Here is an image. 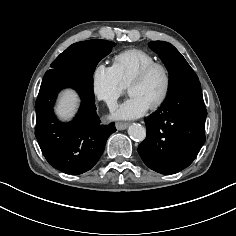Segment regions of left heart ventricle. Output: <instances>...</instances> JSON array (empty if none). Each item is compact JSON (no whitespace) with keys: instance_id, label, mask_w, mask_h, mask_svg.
<instances>
[{"instance_id":"1","label":"left heart ventricle","mask_w":236,"mask_h":236,"mask_svg":"<svg viewBox=\"0 0 236 236\" xmlns=\"http://www.w3.org/2000/svg\"><path fill=\"white\" fill-rule=\"evenodd\" d=\"M164 86L163 72L160 69H155L143 82L131 86L129 94L142 98L151 106L161 96Z\"/></svg>"}]
</instances>
